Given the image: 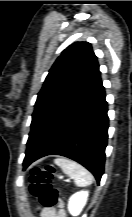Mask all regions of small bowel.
<instances>
[{"instance_id": "small-bowel-1", "label": "small bowel", "mask_w": 132, "mask_h": 217, "mask_svg": "<svg viewBox=\"0 0 132 217\" xmlns=\"http://www.w3.org/2000/svg\"><path fill=\"white\" fill-rule=\"evenodd\" d=\"M41 217H65L61 206L59 208H43Z\"/></svg>"}]
</instances>
